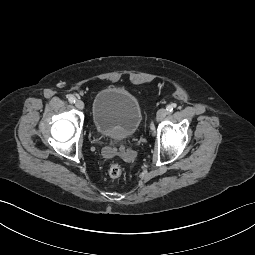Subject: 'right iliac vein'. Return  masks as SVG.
Wrapping results in <instances>:
<instances>
[{
  "label": "right iliac vein",
  "mask_w": 255,
  "mask_h": 255,
  "mask_svg": "<svg viewBox=\"0 0 255 255\" xmlns=\"http://www.w3.org/2000/svg\"><path fill=\"white\" fill-rule=\"evenodd\" d=\"M75 106H76V108H78L79 110H82V109H84V107H85L83 101H81V100L76 101Z\"/></svg>",
  "instance_id": "right-iliac-vein-1"
}]
</instances>
